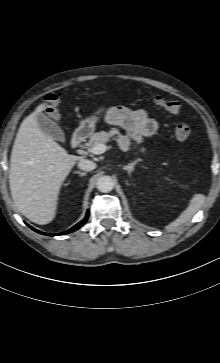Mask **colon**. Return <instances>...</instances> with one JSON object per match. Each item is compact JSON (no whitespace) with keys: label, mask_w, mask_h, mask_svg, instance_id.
<instances>
[{"label":"colon","mask_w":220,"mask_h":363,"mask_svg":"<svg viewBox=\"0 0 220 363\" xmlns=\"http://www.w3.org/2000/svg\"><path fill=\"white\" fill-rule=\"evenodd\" d=\"M58 98L59 96L57 94H49L46 96L44 110L51 118L57 117L56 104ZM154 102L169 114L177 115L181 111V103L177 100H169L162 96H155ZM175 135L178 140L186 141L191 135V128L186 123H178L175 127Z\"/></svg>","instance_id":"obj_1"}]
</instances>
